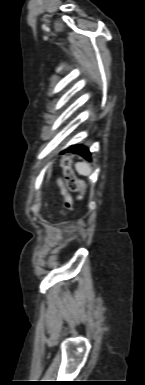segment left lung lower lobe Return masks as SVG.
Here are the masks:
<instances>
[{
    "instance_id": "obj_1",
    "label": "left lung lower lobe",
    "mask_w": 145,
    "mask_h": 385,
    "mask_svg": "<svg viewBox=\"0 0 145 385\" xmlns=\"http://www.w3.org/2000/svg\"><path fill=\"white\" fill-rule=\"evenodd\" d=\"M69 150L77 149L76 153H79L81 156L87 160H91L89 150L81 145H73L68 148Z\"/></svg>"
}]
</instances>
